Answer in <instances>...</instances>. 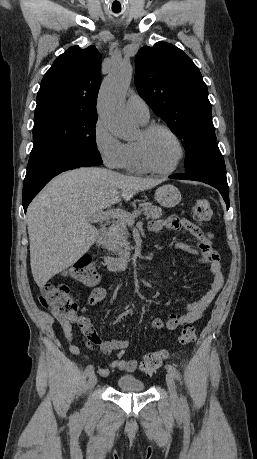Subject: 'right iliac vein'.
<instances>
[{"instance_id":"obj_1","label":"right iliac vein","mask_w":257,"mask_h":459,"mask_svg":"<svg viewBox=\"0 0 257 459\" xmlns=\"http://www.w3.org/2000/svg\"><path fill=\"white\" fill-rule=\"evenodd\" d=\"M97 383V376L92 373L90 376H89V380H88V388L91 389L93 388Z\"/></svg>"}]
</instances>
